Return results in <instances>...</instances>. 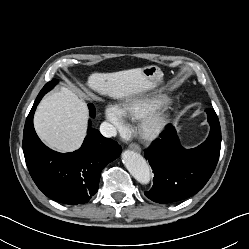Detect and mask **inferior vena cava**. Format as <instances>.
I'll use <instances>...</instances> for the list:
<instances>
[{"instance_id":"1","label":"inferior vena cava","mask_w":249,"mask_h":249,"mask_svg":"<svg viewBox=\"0 0 249 249\" xmlns=\"http://www.w3.org/2000/svg\"><path fill=\"white\" fill-rule=\"evenodd\" d=\"M100 132L103 136L108 138L115 137L117 134L116 128L108 122H103L100 125Z\"/></svg>"}]
</instances>
